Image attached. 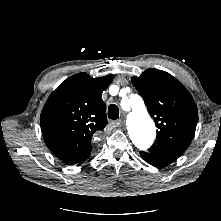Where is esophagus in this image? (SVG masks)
Wrapping results in <instances>:
<instances>
[{
  "instance_id": "1",
  "label": "esophagus",
  "mask_w": 221,
  "mask_h": 221,
  "mask_svg": "<svg viewBox=\"0 0 221 221\" xmlns=\"http://www.w3.org/2000/svg\"><path fill=\"white\" fill-rule=\"evenodd\" d=\"M122 124V120H115V121H111L110 125L112 127H119Z\"/></svg>"
}]
</instances>
